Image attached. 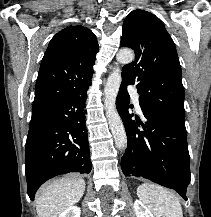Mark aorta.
Returning <instances> with one entry per match:
<instances>
[{
	"label": "aorta",
	"instance_id": "1",
	"mask_svg": "<svg viewBox=\"0 0 211 217\" xmlns=\"http://www.w3.org/2000/svg\"><path fill=\"white\" fill-rule=\"evenodd\" d=\"M134 59V53L130 49H121L116 55V60L120 64H128ZM121 70L114 68L108 76L104 93H105V109L109 126L114 137L115 146L118 149H125L127 146V136L123 122L116 110V97L121 84Z\"/></svg>",
	"mask_w": 211,
	"mask_h": 217
}]
</instances>
